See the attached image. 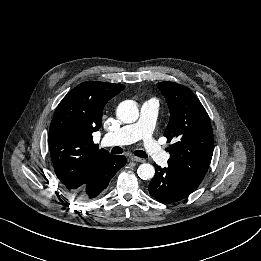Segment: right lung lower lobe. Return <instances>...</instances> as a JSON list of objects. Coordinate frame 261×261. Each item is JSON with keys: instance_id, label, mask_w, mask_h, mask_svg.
Listing matches in <instances>:
<instances>
[{"instance_id": "98d812e1", "label": "right lung lower lobe", "mask_w": 261, "mask_h": 261, "mask_svg": "<svg viewBox=\"0 0 261 261\" xmlns=\"http://www.w3.org/2000/svg\"><path fill=\"white\" fill-rule=\"evenodd\" d=\"M126 164L125 156L109 155L98 161L88 181L72 192L75 197L90 200L101 196L111 178Z\"/></svg>"}]
</instances>
